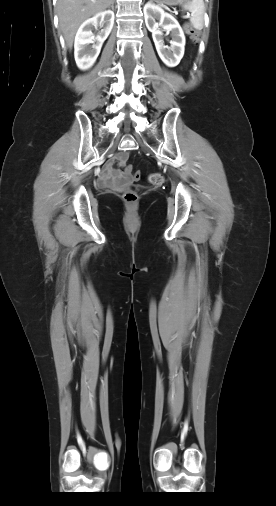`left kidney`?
<instances>
[{
    "instance_id": "1",
    "label": "left kidney",
    "mask_w": 276,
    "mask_h": 506,
    "mask_svg": "<svg viewBox=\"0 0 276 506\" xmlns=\"http://www.w3.org/2000/svg\"><path fill=\"white\" fill-rule=\"evenodd\" d=\"M144 18L146 27L152 32V38L161 60L169 67L178 65L184 55L185 36L177 20L151 2L144 6ZM156 20H159V23ZM160 25L165 31L172 34L170 47L164 45L162 31L159 30Z\"/></svg>"
}]
</instances>
